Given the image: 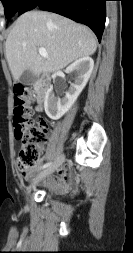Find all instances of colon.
<instances>
[{
    "mask_svg": "<svg viewBox=\"0 0 133 253\" xmlns=\"http://www.w3.org/2000/svg\"><path fill=\"white\" fill-rule=\"evenodd\" d=\"M14 94V134L22 143L17 164L21 171H26L38 163L42 144L46 141V122L40 117H33L31 105L34 102V94L29 87L18 86Z\"/></svg>",
    "mask_w": 133,
    "mask_h": 253,
    "instance_id": "colon-1",
    "label": "colon"
}]
</instances>
